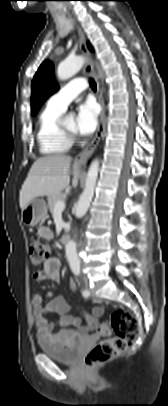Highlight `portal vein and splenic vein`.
<instances>
[{
  "label": "portal vein and splenic vein",
  "mask_w": 168,
  "mask_h": 406,
  "mask_svg": "<svg viewBox=\"0 0 168 406\" xmlns=\"http://www.w3.org/2000/svg\"><path fill=\"white\" fill-rule=\"evenodd\" d=\"M65 208V202L64 201H57L55 204V211H63Z\"/></svg>",
  "instance_id": "18ae733b"
}]
</instances>
